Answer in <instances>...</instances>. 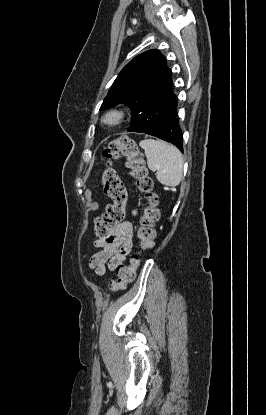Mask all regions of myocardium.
Segmentation results:
<instances>
[{"instance_id":"1","label":"myocardium","mask_w":266,"mask_h":415,"mask_svg":"<svg viewBox=\"0 0 266 415\" xmlns=\"http://www.w3.org/2000/svg\"><path fill=\"white\" fill-rule=\"evenodd\" d=\"M126 113L121 108H113L108 110L103 117L104 123L110 126L119 125L124 121Z\"/></svg>"}]
</instances>
